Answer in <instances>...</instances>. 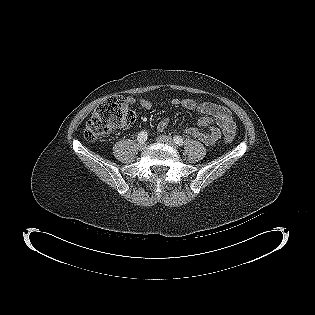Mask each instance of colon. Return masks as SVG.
Returning <instances> with one entry per match:
<instances>
[{"label": "colon", "instance_id": "5ec220e1", "mask_svg": "<svg viewBox=\"0 0 315 315\" xmlns=\"http://www.w3.org/2000/svg\"><path fill=\"white\" fill-rule=\"evenodd\" d=\"M134 120L135 114L129 108L127 98L113 95L94 110L84 129V138L95 141L115 129L130 125ZM232 139L230 134H225L226 141Z\"/></svg>", "mask_w": 315, "mask_h": 315}]
</instances>
